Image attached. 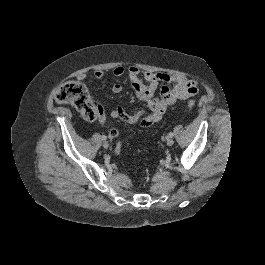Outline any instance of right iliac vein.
Here are the masks:
<instances>
[{
    "mask_svg": "<svg viewBox=\"0 0 265 265\" xmlns=\"http://www.w3.org/2000/svg\"><path fill=\"white\" fill-rule=\"evenodd\" d=\"M102 146H103L104 149H108L109 144H108L107 141H104L103 144H102Z\"/></svg>",
    "mask_w": 265,
    "mask_h": 265,
    "instance_id": "right-iliac-vein-1",
    "label": "right iliac vein"
}]
</instances>
